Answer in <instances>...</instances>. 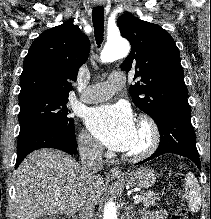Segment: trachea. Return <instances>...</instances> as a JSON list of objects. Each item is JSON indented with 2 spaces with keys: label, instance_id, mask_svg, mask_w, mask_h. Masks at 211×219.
Returning a JSON list of instances; mask_svg holds the SVG:
<instances>
[{
  "label": "trachea",
  "instance_id": "1",
  "mask_svg": "<svg viewBox=\"0 0 211 219\" xmlns=\"http://www.w3.org/2000/svg\"><path fill=\"white\" fill-rule=\"evenodd\" d=\"M92 20L96 43L100 47L104 35V8L102 6L93 8Z\"/></svg>",
  "mask_w": 211,
  "mask_h": 219
}]
</instances>
